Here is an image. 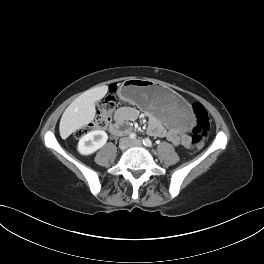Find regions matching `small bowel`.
I'll return each instance as SVG.
<instances>
[{
    "label": "small bowel",
    "mask_w": 264,
    "mask_h": 264,
    "mask_svg": "<svg viewBox=\"0 0 264 264\" xmlns=\"http://www.w3.org/2000/svg\"><path fill=\"white\" fill-rule=\"evenodd\" d=\"M139 115L137 109L124 106L119 108L115 114V120L118 124H123L126 121H133ZM148 132L152 136L166 137L172 143L178 145L182 144L186 147L190 146L189 137L184 134L180 129H166L157 119L153 118L150 120L148 125Z\"/></svg>",
    "instance_id": "small-bowel-1"
}]
</instances>
